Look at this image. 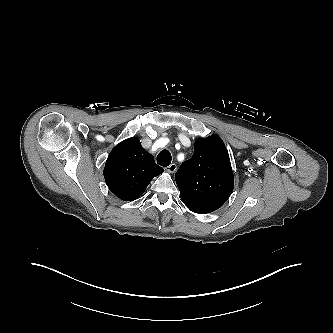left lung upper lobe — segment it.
Here are the masks:
<instances>
[{
	"label": "left lung upper lobe",
	"mask_w": 333,
	"mask_h": 333,
	"mask_svg": "<svg viewBox=\"0 0 333 333\" xmlns=\"http://www.w3.org/2000/svg\"><path fill=\"white\" fill-rule=\"evenodd\" d=\"M182 202L193 212L210 213L230 197L234 176L222 139L213 134L195 141L192 157L175 174Z\"/></svg>",
	"instance_id": "5c2ea615"
}]
</instances>
